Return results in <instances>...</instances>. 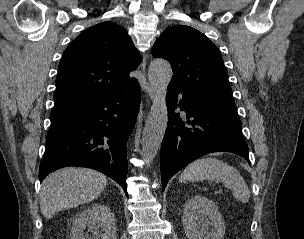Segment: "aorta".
<instances>
[{
    "label": "aorta",
    "mask_w": 304,
    "mask_h": 239,
    "mask_svg": "<svg viewBox=\"0 0 304 239\" xmlns=\"http://www.w3.org/2000/svg\"><path fill=\"white\" fill-rule=\"evenodd\" d=\"M172 74L171 65L166 60L157 58L150 63L148 78L154 98L142 136V157L146 164L157 155L165 135L168 122L166 90Z\"/></svg>",
    "instance_id": "aorta-1"
}]
</instances>
